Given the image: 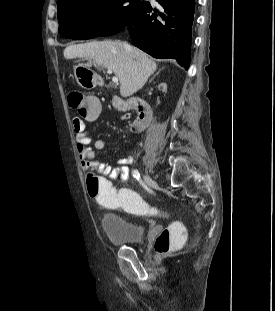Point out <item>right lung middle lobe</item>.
I'll list each match as a JSON object with an SVG mask.
<instances>
[{
  "mask_svg": "<svg viewBox=\"0 0 275 311\" xmlns=\"http://www.w3.org/2000/svg\"><path fill=\"white\" fill-rule=\"evenodd\" d=\"M147 5L143 0H70L58 5L59 33L72 39L88 32L95 37L113 35Z\"/></svg>",
  "mask_w": 275,
  "mask_h": 311,
  "instance_id": "obj_1",
  "label": "right lung middle lobe"
}]
</instances>
